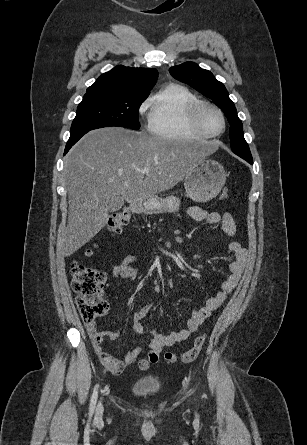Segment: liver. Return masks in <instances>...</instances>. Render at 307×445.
<instances>
[{"label": "liver", "instance_id": "1", "mask_svg": "<svg viewBox=\"0 0 307 445\" xmlns=\"http://www.w3.org/2000/svg\"><path fill=\"white\" fill-rule=\"evenodd\" d=\"M204 156L182 140H162L120 126L96 128L82 136L66 162L68 223L62 237L64 257L91 241L105 225L108 212L139 196H157L173 188ZM149 168V172H140Z\"/></svg>", "mask_w": 307, "mask_h": 445}]
</instances>
